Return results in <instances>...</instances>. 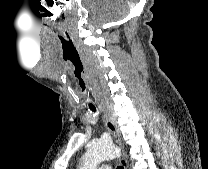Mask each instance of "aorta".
<instances>
[{
  "instance_id": "762f6f07",
  "label": "aorta",
  "mask_w": 208,
  "mask_h": 169,
  "mask_svg": "<svg viewBox=\"0 0 208 169\" xmlns=\"http://www.w3.org/2000/svg\"><path fill=\"white\" fill-rule=\"evenodd\" d=\"M119 156V148L112 143L99 142L92 145L82 157L80 169H97V166L105 161Z\"/></svg>"
}]
</instances>
